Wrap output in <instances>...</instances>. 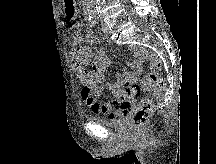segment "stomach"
<instances>
[{"label":"stomach","mask_w":216,"mask_h":164,"mask_svg":"<svg viewBox=\"0 0 216 164\" xmlns=\"http://www.w3.org/2000/svg\"><path fill=\"white\" fill-rule=\"evenodd\" d=\"M63 3H65V15L62 16L63 20H76L78 17V12L76 8V3H74V0H63Z\"/></svg>","instance_id":"0dacf381"}]
</instances>
